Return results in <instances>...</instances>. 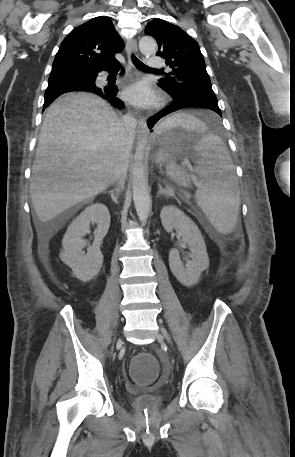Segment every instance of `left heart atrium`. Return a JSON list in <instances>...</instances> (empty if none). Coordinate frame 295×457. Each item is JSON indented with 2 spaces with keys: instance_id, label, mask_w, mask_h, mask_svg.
Segmentation results:
<instances>
[{
  "instance_id": "left-heart-atrium-1",
  "label": "left heart atrium",
  "mask_w": 295,
  "mask_h": 457,
  "mask_svg": "<svg viewBox=\"0 0 295 457\" xmlns=\"http://www.w3.org/2000/svg\"><path fill=\"white\" fill-rule=\"evenodd\" d=\"M124 97L134 106L141 108L152 107L159 100L157 91L145 80H138L128 86L124 92Z\"/></svg>"
}]
</instances>
